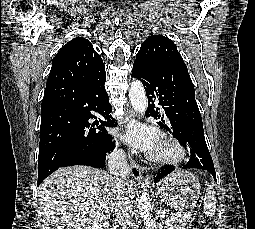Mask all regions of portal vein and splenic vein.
<instances>
[{
    "mask_svg": "<svg viewBox=\"0 0 255 229\" xmlns=\"http://www.w3.org/2000/svg\"><path fill=\"white\" fill-rule=\"evenodd\" d=\"M165 213H166V211L163 212V216H162V217H164V214H165Z\"/></svg>",
    "mask_w": 255,
    "mask_h": 229,
    "instance_id": "1",
    "label": "portal vein and splenic vein"
}]
</instances>
